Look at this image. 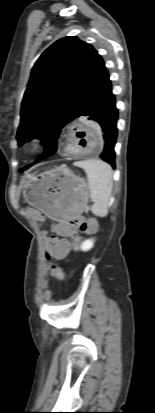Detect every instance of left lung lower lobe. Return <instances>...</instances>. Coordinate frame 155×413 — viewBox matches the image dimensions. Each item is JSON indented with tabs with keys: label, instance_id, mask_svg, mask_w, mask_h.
<instances>
[{
	"label": "left lung lower lobe",
	"instance_id": "1",
	"mask_svg": "<svg viewBox=\"0 0 155 413\" xmlns=\"http://www.w3.org/2000/svg\"><path fill=\"white\" fill-rule=\"evenodd\" d=\"M78 113L79 116L93 120L101 126L105 144L100 157L115 168L114 146L117 138L118 111L106 67Z\"/></svg>",
	"mask_w": 155,
	"mask_h": 413
}]
</instances>
